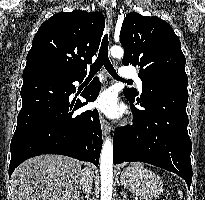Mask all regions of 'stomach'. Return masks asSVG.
Instances as JSON below:
<instances>
[{
  "mask_svg": "<svg viewBox=\"0 0 205 200\" xmlns=\"http://www.w3.org/2000/svg\"><path fill=\"white\" fill-rule=\"evenodd\" d=\"M120 180L125 188L143 200H153L163 192V182L159 175L139 163L125 168Z\"/></svg>",
  "mask_w": 205,
  "mask_h": 200,
  "instance_id": "0dacf381",
  "label": "stomach"
}]
</instances>
